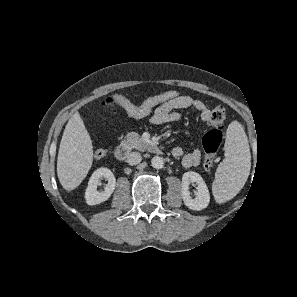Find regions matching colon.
<instances>
[{"instance_id": "obj_1", "label": "colon", "mask_w": 297, "mask_h": 297, "mask_svg": "<svg viewBox=\"0 0 297 297\" xmlns=\"http://www.w3.org/2000/svg\"><path fill=\"white\" fill-rule=\"evenodd\" d=\"M180 96V93L175 90L166 91L158 95L147 98L142 104V111H148L157 105L171 101ZM124 102H132L128 98L121 95L110 96L100 103V108L103 111L115 113L117 110L116 105H122ZM226 121V109L223 106H216L212 109L209 115L208 124L212 127L203 138V148L205 151L204 168L207 172H211L214 168L216 154L222 142V133L220 129ZM106 149L98 148L94 155L100 159L106 156Z\"/></svg>"}]
</instances>
